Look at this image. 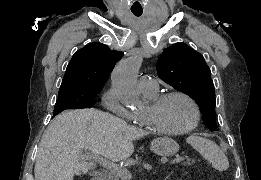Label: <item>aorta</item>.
I'll return each instance as SVG.
<instances>
[{"mask_svg": "<svg viewBox=\"0 0 261 180\" xmlns=\"http://www.w3.org/2000/svg\"><path fill=\"white\" fill-rule=\"evenodd\" d=\"M142 63V55L136 52L119 62L111 75L112 86L121 101L128 107L141 105L140 93L137 88V74Z\"/></svg>", "mask_w": 261, "mask_h": 180, "instance_id": "1", "label": "aorta"}]
</instances>
